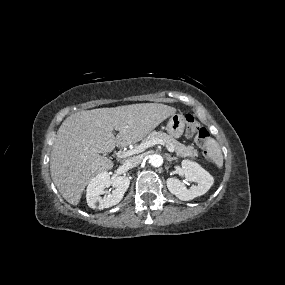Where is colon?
Wrapping results in <instances>:
<instances>
[{
    "mask_svg": "<svg viewBox=\"0 0 285 285\" xmlns=\"http://www.w3.org/2000/svg\"><path fill=\"white\" fill-rule=\"evenodd\" d=\"M187 137H193L197 145L203 149L206 156H210L209 144L211 141L210 134L205 127H202L194 118L193 115L185 116Z\"/></svg>",
    "mask_w": 285,
    "mask_h": 285,
    "instance_id": "5ec220e1",
    "label": "colon"
}]
</instances>
